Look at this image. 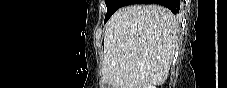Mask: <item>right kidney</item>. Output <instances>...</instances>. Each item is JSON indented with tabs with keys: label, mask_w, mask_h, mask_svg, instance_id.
<instances>
[{
	"label": "right kidney",
	"mask_w": 227,
	"mask_h": 88,
	"mask_svg": "<svg viewBox=\"0 0 227 88\" xmlns=\"http://www.w3.org/2000/svg\"><path fill=\"white\" fill-rule=\"evenodd\" d=\"M145 88H156V87H155V86L150 85V86H145Z\"/></svg>",
	"instance_id": "right-kidney-1"
}]
</instances>
